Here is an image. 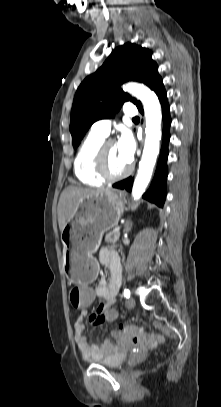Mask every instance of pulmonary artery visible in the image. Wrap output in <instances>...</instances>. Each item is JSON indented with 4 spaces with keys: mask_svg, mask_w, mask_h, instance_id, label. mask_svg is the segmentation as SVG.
<instances>
[{
    "mask_svg": "<svg viewBox=\"0 0 221 407\" xmlns=\"http://www.w3.org/2000/svg\"><path fill=\"white\" fill-rule=\"evenodd\" d=\"M124 113L128 117H135L138 111L133 104H127L124 108ZM110 128L111 121L108 119H102L92 125L91 131L106 137L110 132Z\"/></svg>",
    "mask_w": 221,
    "mask_h": 407,
    "instance_id": "e3ab8cb5",
    "label": "pulmonary artery"
}]
</instances>
